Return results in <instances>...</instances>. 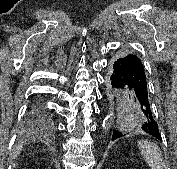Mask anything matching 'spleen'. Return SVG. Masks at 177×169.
<instances>
[{
    "label": "spleen",
    "mask_w": 177,
    "mask_h": 169,
    "mask_svg": "<svg viewBox=\"0 0 177 169\" xmlns=\"http://www.w3.org/2000/svg\"><path fill=\"white\" fill-rule=\"evenodd\" d=\"M141 155L151 169H163L162 156L159 147L148 140L138 142Z\"/></svg>",
    "instance_id": "1"
}]
</instances>
